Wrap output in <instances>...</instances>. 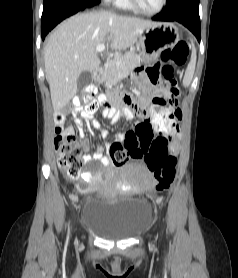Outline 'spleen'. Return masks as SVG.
<instances>
[{
	"instance_id": "spleen-1",
	"label": "spleen",
	"mask_w": 238,
	"mask_h": 278,
	"mask_svg": "<svg viewBox=\"0 0 238 278\" xmlns=\"http://www.w3.org/2000/svg\"><path fill=\"white\" fill-rule=\"evenodd\" d=\"M195 65H196V50L193 47L192 48V55H191V59L190 62L188 64V67L185 71V75L183 78V85L185 87H188L193 79V75H194V71H195Z\"/></svg>"
}]
</instances>
